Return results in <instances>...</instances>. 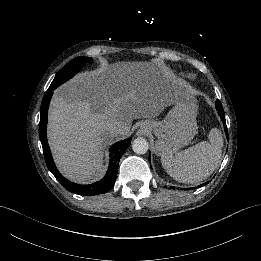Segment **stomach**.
<instances>
[{"label":"stomach","instance_id":"obj_1","mask_svg":"<svg viewBox=\"0 0 261 261\" xmlns=\"http://www.w3.org/2000/svg\"><path fill=\"white\" fill-rule=\"evenodd\" d=\"M171 106L172 109L161 123L152 120L157 135L154 150L161 156L173 155L188 144L196 133L197 107L191 88L177 84L173 90Z\"/></svg>","mask_w":261,"mask_h":261}]
</instances>
